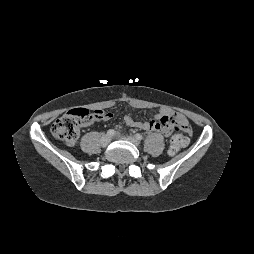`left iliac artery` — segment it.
<instances>
[{
  "instance_id": "left-iliac-artery-1",
  "label": "left iliac artery",
  "mask_w": 254,
  "mask_h": 254,
  "mask_svg": "<svg viewBox=\"0 0 254 254\" xmlns=\"http://www.w3.org/2000/svg\"><path fill=\"white\" fill-rule=\"evenodd\" d=\"M135 137H136L137 140H142L143 139V136L141 134H139V133H137L135 135Z\"/></svg>"
}]
</instances>
